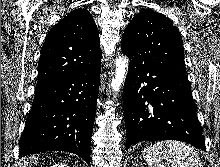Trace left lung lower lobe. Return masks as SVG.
<instances>
[{"instance_id": "1", "label": "left lung lower lobe", "mask_w": 220, "mask_h": 167, "mask_svg": "<svg viewBox=\"0 0 220 167\" xmlns=\"http://www.w3.org/2000/svg\"><path fill=\"white\" fill-rule=\"evenodd\" d=\"M129 58L123 90L126 147L139 141L171 139L206 150L186 74Z\"/></svg>"}]
</instances>
